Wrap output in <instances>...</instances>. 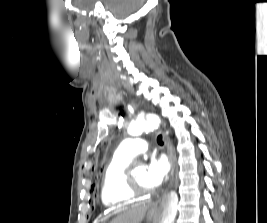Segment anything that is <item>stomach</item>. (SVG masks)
<instances>
[{
	"mask_svg": "<svg viewBox=\"0 0 267 223\" xmlns=\"http://www.w3.org/2000/svg\"><path fill=\"white\" fill-rule=\"evenodd\" d=\"M155 216H156V212L153 211V210H150V211L148 212V214H147V219H148V220H153V219L155 218Z\"/></svg>",
	"mask_w": 267,
	"mask_h": 223,
	"instance_id": "1",
	"label": "stomach"
}]
</instances>
